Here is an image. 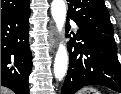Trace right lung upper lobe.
<instances>
[{"instance_id":"1","label":"right lung upper lobe","mask_w":121,"mask_h":94,"mask_svg":"<svg viewBox=\"0 0 121 94\" xmlns=\"http://www.w3.org/2000/svg\"><path fill=\"white\" fill-rule=\"evenodd\" d=\"M29 0H1V17L25 9Z\"/></svg>"}]
</instances>
